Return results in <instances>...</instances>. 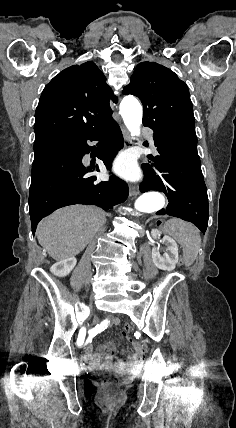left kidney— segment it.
Wrapping results in <instances>:
<instances>
[{"instance_id": "left-kidney-1", "label": "left kidney", "mask_w": 236, "mask_h": 428, "mask_svg": "<svg viewBox=\"0 0 236 428\" xmlns=\"http://www.w3.org/2000/svg\"><path fill=\"white\" fill-rule=\"evenodd\" d=\"M161 232L159 230H152L151 236L156 240L160 238ZM166 248L164 250L163 256H161L158 248H152V260L159 268V270H167V272H172L178 262V248L175 240L169 238V236H164L162 240Z\"/></svg>"}]
</instances>
